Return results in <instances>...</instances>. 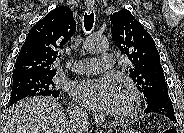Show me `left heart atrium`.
<instances>
[{
	"mask_svg": "<svg viewBox=\"0 0 184 133\" xmlns=\"http://www.w3.org/2000/svg\"><path fill=\"white\" fill-rule=\"evenodd\" d=\"M71 94L78 102L95 113L111 111L119 96L115 82L108 78L77 81L72 85Z\"/></svg>",
	"mask_w": 184,
	"mask_h": 133,
	"instance_id": "left-heart-atrium-1",
	"label": "left heart atrium"
}]
</instances>
